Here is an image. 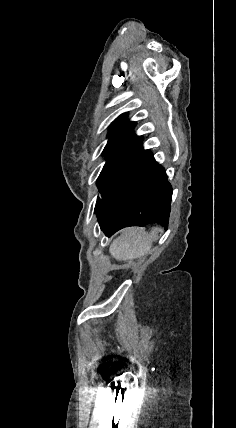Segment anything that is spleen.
Listing matches in <instances>:
<instances>
[{"label":"spleen","mask_w":236,"mask_h":428,"mask_svg":"<svg viewBox=\"0 0 236 428\" xmlns=\"http://www.w3.org/2000/svg\"><path fill=\"white\" fill-rule=\"evenodd\" d=\"M151 246L152 238L144 228H126L120 238L113 240L109 252L116 260H136L145 256Z\"/></svg>","instance_id":"spleen-1"}]
</instances>
